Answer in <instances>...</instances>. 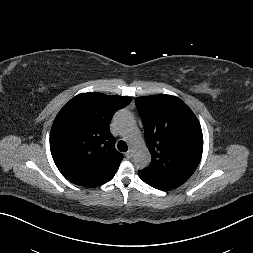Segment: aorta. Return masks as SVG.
<instances>
[{
	"label": "aorta",
	"instance_id": "aorta-1",
	"mask_svg": "<svg viewBox=\"0 0 253 253\" xmlns=\"http://www.w3.org/2000/svg\"><path fill=\"white\" fill-rule=\"evenodd\" d=\"M115 123L134 148L133 159L136 167L143 169L148 166L151 161V155L136 127L132 115L128 112H119L115 117Z\"/></svg>",
	"mask_w": 253,
	"mask_h": 253
}]
</instances>
